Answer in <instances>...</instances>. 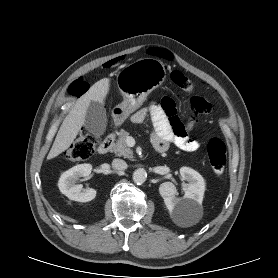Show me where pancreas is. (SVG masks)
<instances>
[{"label":"pancreas","instance_id":"cf45deb5","mask_svg":"<svg viewBox=\"0 0 278 278\" xmlns=\"http://www.w3.org/2000/svg\"><path fill=\"white\" fill-rule=\"evenodd\" d=\"M129 136V133L125 130H120L118 133V140L113 148L114 153L117 156H123L125 158L131 159L133 158V151L126 144V138Z\"/></svg>","mask_w":278,"mask_h":278}]
</instances>
